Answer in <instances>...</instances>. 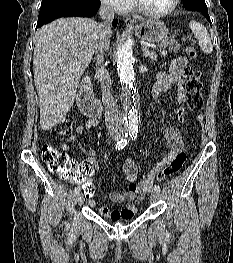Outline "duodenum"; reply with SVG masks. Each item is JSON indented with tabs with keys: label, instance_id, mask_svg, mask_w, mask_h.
Returning a JSON list of instances; mask_svg holds the SVG:
<instances>
[{
	"label": "duodenum",
	"instance_id": "410a0bca",
	"mask_svg": "<svg viewBox=\"0 0 233 263\" xmlns=\"http://www.w3.org/2000/svg\"><path fill=\"white\" fill-rule=\"evenodd\" d=\"M94 90L91 88V79L86 77L79 89L77 95V103L82 114L97 118L102 114V99L97 100L98 94H93Z\"/></svg>",
	"mask_w": 233,
	"mask_h": 263
}]
</instances>
